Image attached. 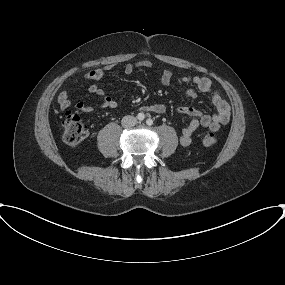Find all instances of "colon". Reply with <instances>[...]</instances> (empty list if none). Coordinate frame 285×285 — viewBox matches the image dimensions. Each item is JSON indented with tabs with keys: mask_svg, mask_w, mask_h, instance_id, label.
Wrapping results in <instances>:
<instances>
[{
	"mask_svg": "<svg viewBox=\"0 0 285 285\" xmlns=\"http://www.w3.org/2000/svg\"><path fill=\"white\" fill-rule=\"evenodd\" d=\"M62 126L63 141L67 146L71 148L80 146L89 135L87 125L81 120L78 115L72 112H68L64 115ZM216 142V135L213 132H208L203 136V143L206 146H212L216 144Z\"/></svg>",
	"mask_w": 285,
	"mask_h": 285,
	"instance_id": "obj_1",
	"label": "colon"
}]
</instances>
